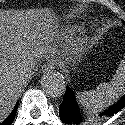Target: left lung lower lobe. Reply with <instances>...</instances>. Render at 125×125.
<instances>
[{"label":"left lung lower lobe","instance_id":"obj_1","mask_svg":"<svg viewBox=\"0 0 125 125\" xmlns=\"http://www.w3.org/2000/svg\"><path fill=\"white\" fill-rule=\"evenodd\" d=\"M125 107V96L115 105L111 106L109 109L100 113V117L112 116L119 112L122 108ZM60 119L63 123L71 125H88L90 121H86V118L83 116V112L78 107V104L75 101L73 92L67 87L63 103L59 108Z\"/></svg>","mask_w":125,"mask_h":125}]
</instances>
